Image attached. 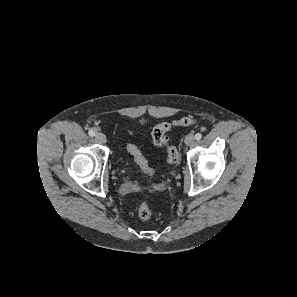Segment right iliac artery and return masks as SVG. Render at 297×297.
Here are the masks:
<instances>
[{
	"mask_svg": "<svg viewBox=\"0 0 297 297\" xmlns=\"http://www.w3.org/2000/svg\"><path fill=\"white\" fill-rule=\"evenodd\" d=\"M88 133L91 137L95 136V131L93 129H90Z\"/></svg>",
	"mask_w": 297,
	"mask_h": 297,
	"instance_id": "1",
	"label": "right iliac artery"
}]
</instances>
